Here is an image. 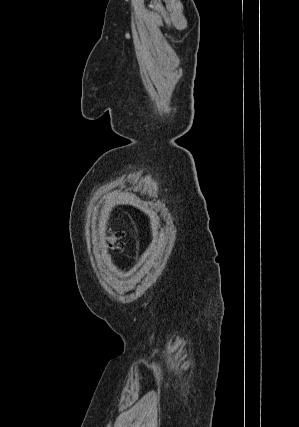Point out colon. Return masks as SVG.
<instances>
[{
	"mask_svg": "<svg viewBox=\"0 0 299 427\" xmlns=\"http://www.w3.org/2000/svg\"><path fill=\"white\" fill-rule=\"evenodd\" d=\"M116 240H117V236H116L115 234H112V235L110 236V242H109V244H108V247H109L111 250H114V249H116V248H117Z\"/></svg>",
	"mask_w": 299,
	"mask_h": 427,
	"instance_id": "1",
	"label": "colon"
}]
</instances>
